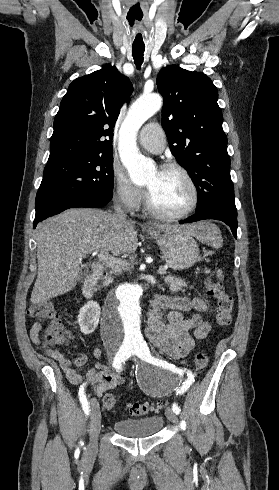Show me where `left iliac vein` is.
Segmentation results:
<instances>
[{"label":"left iliac vein","instance_id":"1","mask_svg":"<svg viewBox=\"0 0 279 490\" xmlns=\"http://www.w3.org/2000/svg\"><path fill=\"white\" fill-rule=\"evenodd\" d=\"M166 416H167V418H168V419H169L171 422H173V423H177V422H178L177 416H176V414L173 412V410H172V409H170V408H167V409H166Z\"/></svg>","mask_w":279,"mask_h":490}]
</instances>
